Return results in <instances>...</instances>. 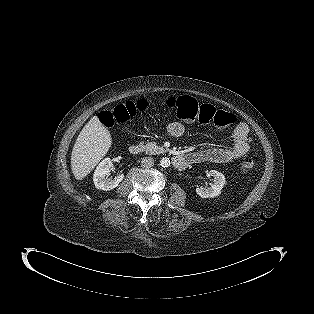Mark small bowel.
I'll return each instance as SVG.
<instances>
[{"label":"small bowel","instance_id":"small-bowel-1","mask_svg":"<svg viewBox=\"0 0 314 314\" xmlns=\"http://www.w3.org/2000/svg\"><path fill=\"white\" fill-rule=\"evenodd\" d=\"M185 132V125L181 122H171L166 126V133L171 137H180ZM250 149V139L246 124H239L232 135V144L227 148H208L189 153L190 163L230 164Z\"/></svg>","mask_w":314,"mask_h":314}]
</instances>
